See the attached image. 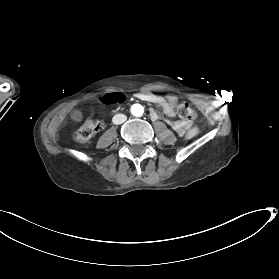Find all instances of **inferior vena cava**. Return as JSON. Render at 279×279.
Listing matches in <instances>:
<instances>
[{
  "label": "inferior vena cava",
  "mask_w": 279,
  "mask_h": 279,
  "mask_svg": "<svg viewBox=\"0 0 279 279\" xmlns=\"http://www.w3.org/2000/svg\"><path fill=\"white\" fill-rule=\"evenodd\" d=\"M127 120V117L123 114H117L113 117V122L114 124H122L123 122L122 121H126Z\"/></svg>",
  "instance_id": "obj_1"
}]
</instances>
